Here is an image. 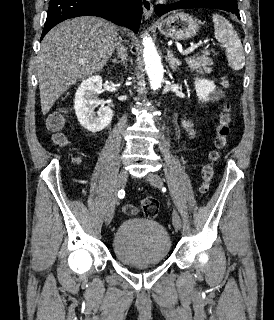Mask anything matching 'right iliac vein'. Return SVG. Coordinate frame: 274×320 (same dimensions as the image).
<instances>
[{"label":"right iliac vein","mask_w":274,"mask_h":320,"mask_svg":"<svg viewBox=\"0 0 274 320\" xmlns=\"http://www.w3.org/2000/svg\"><path fill=\"white\" fill-rule=\"evenodd\" d=\"M127 179H128V174L127 171L122 170L118 177H117V183H116V188H115V193L113 194L107 210H106V215H105V222L108 224L111 222L114 212H115V207H116V203H117V191L120 189H123L127 183Z\"/></svg>","instance_id":"63e3f726"}]
</instances>
